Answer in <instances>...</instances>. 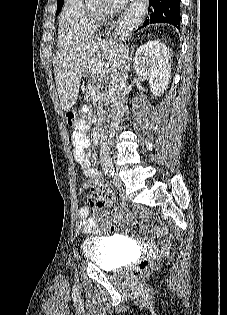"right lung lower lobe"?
<instances>
[{"label":"right lung lower lobe","instance_id":"1","mask_svg":"<svg viewBox=\"0 0 227 315\" xmlns=\"http://www.w3.org/2000/svg\"><path fill=\"white\" fill-rule=\"evenodd\" d=\"M159 22L180 28V0H149L148 15L142 27Z\"/></svg>","mask_w":227,"mask_h":315}]
</instances>
